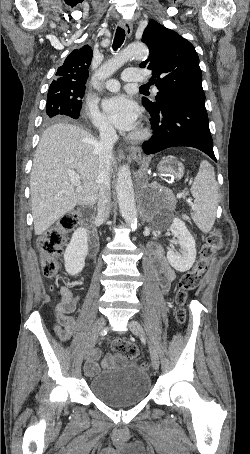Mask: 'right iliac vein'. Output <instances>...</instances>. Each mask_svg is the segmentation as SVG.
<instances>
[{
    "mask_svg": "<svg viewBox=\"0 0 250 454\" xmlns=\"http://www.w3.org/2000/svg\"><path fill=\"white\" fill-rule=\"evenodd\" d=\"M104 326H105V319L103 317L98 318L94 325L93 336H92L91 340L89 341V343L86 347V350H85V354H84L85 359L89 356L90 352L93 350L95 343H96V338L101 333Z\"/></svg>",
    "mask_w": 250,
    "mask_h": 454,
    "instance_id": "right-iliac-vein-1",
    "label": "right iliac vein"
}]
</instances>
